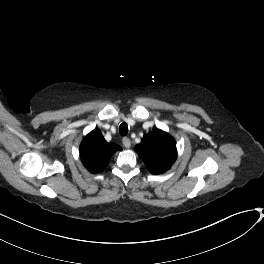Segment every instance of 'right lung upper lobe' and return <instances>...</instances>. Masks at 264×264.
<instances>
[{
  "label": "right lung upper lobe",
  "instance_id": "1",
  "mask_svg": "<svg viewBox=\"0 0 264 264\" xmlns=\"http://www.w3.org/2000/svg\"><path fill=\"white\" fill-rule=\"evenodd\" d=\"M118 150L121 151L122 148L117 144L107 143L97 129L84 137L79 149L83 165L94 174L104 169Z\"/></svg>",
  "mask_w": 264,
  "mask_h": 264
}]
</instances>
